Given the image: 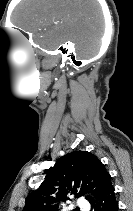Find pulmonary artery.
Here are the masks:
<instances>
[{"label": "pulmonary artery", "instance_id": "obj_1", "mask_svg": "<svg viewBox=\"0 0 133 211\" xmlns=\"http://www.w3.org/2000/svg\"><path fill=\"white\" fill-rule=\"evenodd\" d=\"M76 206L79 207L83 211H88L89 209V204L87 203L85 199H82V198L77 200Z\"/></svg>", "mask_w": 133, "mask_h": 211}]
</instances>
